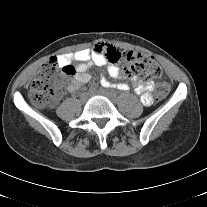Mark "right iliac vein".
<instances>
[{"label": "right iliac vein", "mask_w": 207, "mask_h": 207, "mask_svg": "<svg viewBox=\"0 0 207 207\" xmlns=\"http://www.w3.org/2000/svg\"><path fill=\"white\" fill-rule=\"evenodd\" d=\"M92 90H95V89H94V88H91L90 91L92 92ZM87 97H88V94H85V93L82 94V95L80 96V101L84 103V102L86 101Z\"/></svg>", "instance_id": "obj_1"}]
</instances>
